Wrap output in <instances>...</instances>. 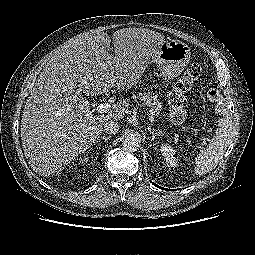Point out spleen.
Listing matches in <instances>:
<instances>
[{"instance_id": "3e777b00", "label": "spleen", "mask_w": 255, "mask_h": 255, "mask_svg": "<svg viewBox=\"0 0 255 255\" xmlns=\"http://www.w3.org/2000/svg\"><path fill=\"white\" fill-rule=\"evenodd\" d=\"M215 136L207 148L195 158V173L203 175L214 170L223 158L233 137L232 124L227 118L219 120Z\"/></svg>"}]
</instances>
